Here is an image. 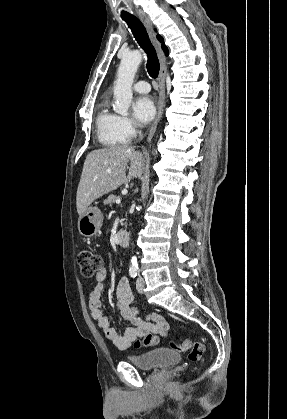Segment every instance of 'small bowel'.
<instances>
[{"label":"small bowel","mask_w":287,"mask_h":419,"mask_svg":"<svg viewBox=\"0 0 287 419\" xmlns=\"http://www.w3.org/2000/svg\"><path fill=\"white\" fill-rule=\"evenodd\" d=\"M107 278V270L101 269L96 273V284L89 296V309L94 320L103 331L105 337L109 339L115 347L125 350L135 344L139 339L148 334L165 335L168 331V323L159 313L148 314L145 319L137 314V310L132 306L133 295L131 293L128 281L121 279L116 288L115 309L122 318L132 326L126 327L123 332L115 329L109 319L103 314L101 295L104 281Z\"/></svg>","instance_id":"1"}]
</instances>
